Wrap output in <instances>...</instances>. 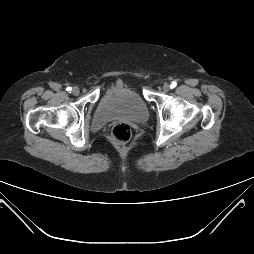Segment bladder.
I'll use <instances>...</instances> for the list:
<instances>
[{
	"mask_svg": "<svg viewBox=\"0 0 254 254\" xmlns=\"http://www.w3.org/2000/svg\"><path fill=\"white\" fill-rule=\"evenodd\" d=\"M148 116V107L139 93L118 87L100 100L93 121L95 125L103 126L118 119L143 122Z\"/></svg>",
	"mask_w": 254,
	"mask_h": 254,
	"instance_id": "bladder-1",
	"label": "bladder"
}]
</instances>
